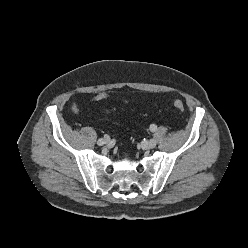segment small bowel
Wrapping results in <instances>:
<instances>
[{
    "instance_id": "c3829d8e",
    "label": "small bowel",
    "mask_w": 248,
    "mask_h": 248,
    "mask_svg": "<svg viewBox=\"0 0 248 248\" xmlns=\"http://www.w3.org/2000/svg\"><path fill=\"white\" fill-rule=\"evenodd\" d=\"M109 96L108 94L104 93V92H99V93H96L93 97H92V101H101V100H105V99H108ZM73 110L76 112L77 111V108L76 106L73 107Z\"/></svg>"
}]
</instances>
